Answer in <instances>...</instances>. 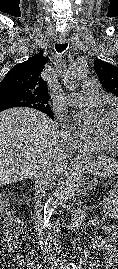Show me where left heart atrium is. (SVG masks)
Returning a JSON list of instances; mask_svg holds the SVG:
<instances>
[{"label": "left heart atrium", "instance_id": "obj_1", "mask_svg": "<svg viewBox=\"0 0 118 269\" xmlns=\"http://www.w3.org/2000/svg\"><path fill=\"white\" fill-rule=\"evenodd\" d=\"M75 120L81 127H85L89 121V117L85 112H79L75 115Z\"/></svg>", "mask_w": 118, "mask_h": 269}]
</instances>
